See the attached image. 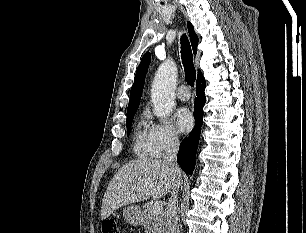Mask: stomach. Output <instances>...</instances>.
<instances>
[{
    "mask_svg": "<svg viewBox=\"0 0 306 233\" xmlns=\"http://www.w3.org/2000/svg\"><path fill=\"white\" fill-rule=\"evenodd\" d=\"M124 219L133 226H139L143 223L144 212L137 205H129L123 211Z\"/></svg>",
    "mask_w": 306,
    "mask_h": 233,
    "instance_id": "0dacf381",
    "label": "stomach"
}]
</instances>
